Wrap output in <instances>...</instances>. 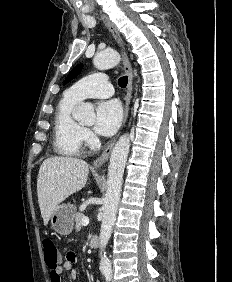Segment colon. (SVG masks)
I'll return each mask as SVG.
<instances>
[{"instance_id": "obj_1", "label": "colon", "mask_w": 232, "mask_h": 282, "mask_svg": "<svg viewBox=\"0 0 232 282\" xmlns=\"http://www.w3.org/2000/svg\"><path fill=\"white\" fill-rule=\"evenodd\" d=\"M43 252L47 267L54 271L60 264V255L55 243L51 239L43 241Z\"/></svg>"}]
</instances>
